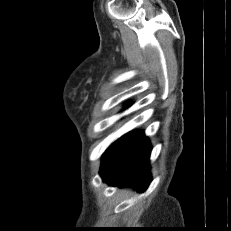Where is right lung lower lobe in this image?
<instances>
[{
  "label": "right lung lower lobe",
  "instance_id": "obj_1",
  "mask_svg": "<svg viewBox=\"0 0 231 231\" xmlns=\"http://www.w3.org/2000/svg\"><path fill=\"white\" fill-rule=\"evenodd\" d=\"M151 145L143 131L122 136L105 152L100 174L109 185L132 184L145 190L151 182L149 155Z\"/></svg>",
  "mask_w": 231,
  "mask_h": 231
}]
</instances>
